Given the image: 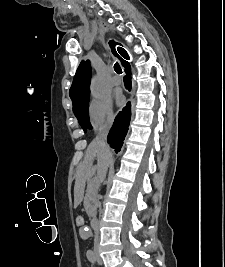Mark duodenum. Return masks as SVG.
Wrapping results in <instances>:
<instances>
[{"label":"duodenum","instance_id":"obj_1","mask_svg":"<svg viewBox=\"0 0 225 267\" xmlns=\"http://www.w3.org/2000/svg\"><path fill=\"white\" fill-rule=\"evenodd\" d=\"M91 226L94 230H96L99 226V221L97 217H92L91 219Z\"/></svg>","mask_w":225,"mask_h":267}]
</instances>
